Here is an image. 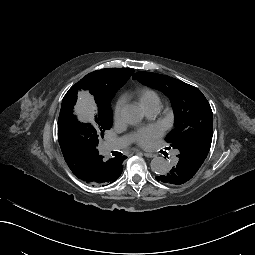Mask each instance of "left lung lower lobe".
Masks as SVG:
<instances>
[{
  "mask_svg": "<svg viewBox=\"0 0 255 255\" xmlns=\"http://www.w3.org/2000/svg\"><path fill=\"white\" fill-rule=\"evenodd\" d=\"M174 169L163 175H158L156 180L164 184H178L180 186L187 185L188 181L192 178V173L189 170H184V168L179 164H174Z\"/></svg>",
  "mask_w": 255,
  "mask_h": 255,
  "instance_id": "0a47b994",
  "label": "left lung lower lobe"
}]
</instances>
